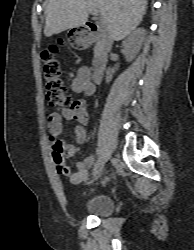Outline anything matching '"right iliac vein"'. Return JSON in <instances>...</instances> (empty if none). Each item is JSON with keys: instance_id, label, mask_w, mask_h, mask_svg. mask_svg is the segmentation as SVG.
Returning <instances> with one entry per match:
<instances>
[{"instance_id": "63e3f726", "label": "right iliac vein", "mask_w": 194, "mask_h": 250, "mask_svg": "<svg viewBox=\"0 0 194 250\" xmlns=\"http://www.w3.org/2000/svg\"><path fill=\"white\" fill-rule=\"evenodd\" d=\"M104 167V159L103 157H101L98 160V163L96 164L95 168H94V172H93V178L97 179L99 177V175L101 174L102 170Z\"/></svg>"}]
</instances>
